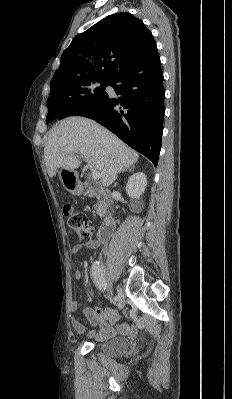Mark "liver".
<instances>
[{
	"mask_svg": "<svg viewBox=\"0 0 232 399\" xmlns=\"http://www.w3.org/2000/svg\"><path fill=\"white\" fill-rule=\"evenodd\" d=\"M71 146L80 152L90 168L97 170L102 186L108 188L117 178L118 172L138 162V154L123 144L114 134L88 118H65L52 128L44 148V160L49 178L58 168L74 172L80 162L75 154L64 152Z\"/></svg>",
	"mask_w": 232,
	"mask_h": 399,
	"instance_id": "1",
	"label": "liver"
}]
</instances>
